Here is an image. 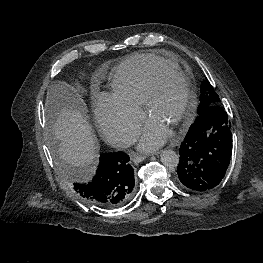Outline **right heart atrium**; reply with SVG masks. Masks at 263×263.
Returning <instances> with one entry per match:
<instances>
[{"label": "right heart atrium", "mask_w": 263, "mask_h": 263, "mask_svg": "<svg viewBox=\"0 0 263 263\" xmlns=\"http://www.w3.org/2000/svg\"><path fill=\"white\" fill-rule=\"evenodd\" d=\"M94 111L103 134L122 146L134 140L143 118L139 108L130 106L111 94L101 95L95 103Z\"/></svg>", "instance_id": "right-heart-atrium-1"}]
</instances>
